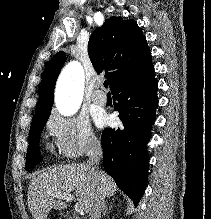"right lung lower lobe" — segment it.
Returning a JSON list of instances; mask_svg holds the SVG:
<instances>
[{
  "mask_svg": "<svg viewBox=\"0 0 211 219\" xmlns=\"http://www.w3.org/2000/svg\"><path fill=\"white\" fill-rule=\"evenodd\" d=\"M157 81L151 59L138 70L120 78L111 88L123 126L106 128L101 136L103 166L118 187L135 205L148 180L149 156L146 144L158 106Z\"/></svg>",
  "mask_w": 211,
  "mask_h": 219,
  "instance_id": "98d812e1",
  "label": "right lung lower lobe"
}]
</instances>
